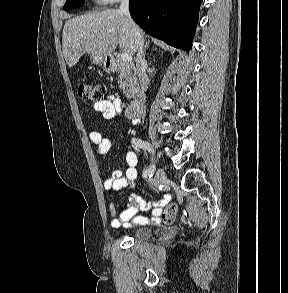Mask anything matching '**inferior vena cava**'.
<instances>
[{"label": "inferior vena cava", "mask_w": 288, "mask_h": 293, "mask_svg": "<svg viewBox=\"0 0 288 293\" xmlns=\"http://www.w3.org/2000/svg\"><path fill=\"white\" fill-rule=\"evenodd\" d=\"M119 12L126 17L130 30L134 36L136 52H137L136 67H137L138 79L141 85V89L143 91H146L149 87V80L146 74L147 62L144 58V51H143L144 40H143L142 32L130 16L128 0H121Z\"/></svg>", "instance_id": "602c4592"}]
</instances>
